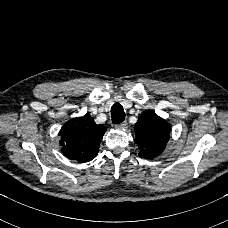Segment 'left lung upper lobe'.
Instances as JSON below:
<instances>
[{
    "mask_svg": "<svg viewBox=\"0 0 228 228\" xmlns=\"http://www.w3.org/2000/svg\"><path fill=\"white\" fill-rule=\"evenodd\" d=\"M135 143L139 147V156L154 159L163 152L169 140L170 125L154 111L143 112L134 126Z\"/></svg>",
    "mask_w": 228,
    "mask_h": 228,
    "instance_id": "1",
    "label": "left lung upper lobe"
}]
</instances>
